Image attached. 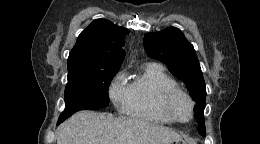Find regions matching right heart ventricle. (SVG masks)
I'll use <instances>...</instances> for the list:
<instances>
[{"mask_svg":"<svg viewBox=\"0 0 260 144\" xmlns=\"http://www.w3.org/2000/svg\"><path fill=\"white\" fill-rule=\"evenodd\" d=\"M176 87V81L162 66L147 63L128 85L124 111L132 118L161 125L171 124L172 121L161 112L158 102L163 91Z\"/></svg>","mask_w":260,"mask_h":144,"instance_id":"right-heart-ventricle-1","label":"right heart ventricle"}]
</instances>
